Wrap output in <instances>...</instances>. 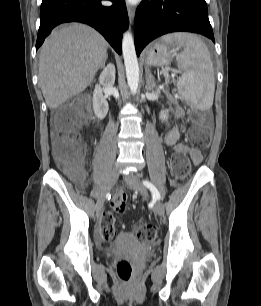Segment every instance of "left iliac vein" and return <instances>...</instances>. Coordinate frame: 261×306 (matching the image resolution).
<instances>
[{"instance_id":"1","label":"left iliac vein","mask_w":261,"mask_h":306,"mask_svg":"<svg viewBox=\"0 0 261 306\" xmlns=\"http://www.w3.org/2000/svg\"><path fill=\"white\" fill-rule=\"evenodd\" d=\"M124 179L131 189L138 192L141 196L147 197V190L137 175L129 174ZM154 211L160 217L164 215V206L160 201L154 203Z\"/></svg>"}]
</instances>
